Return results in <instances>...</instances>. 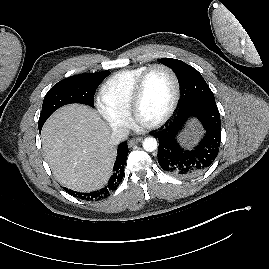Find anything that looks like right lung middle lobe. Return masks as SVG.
Listing matches in <instances>:
<instances>
[{
  "label": "right lung middle lobe",
  "mask_w": 269,
  "mask_h": 269,
  "mask_svg": "<svg viewBox=\"0 0 269 269\" xmlns=\"http://www.w3.org/2000/svg\"><path fill=\"white\" fill-rule=\"evenodd\" d=\"M110 74L108 70L65 78L45 95L38 126L41 129L48 117L59 107L82 103L94 107V94L99 84Z\"/></svg>",
  "instance_id": "dd1d6c3e"
}]
</instances>
